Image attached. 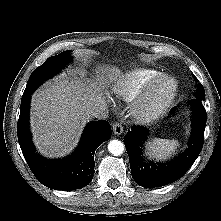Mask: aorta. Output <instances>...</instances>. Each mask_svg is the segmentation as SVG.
<instances>
[{"instance_id": "1", "label": "aorta", "mask_w": 221, "mask_h": 221, "mask_svg": "<svg viewBox=\"0 0 221 221\" xmlns=\"http://www.w3.org/2000/svg\"><path fill=\"white\" fill-rule=\"evenodd\" d=\"M108 151L114 156H119L124 152V144L119 140H111L108 144Z\"/></svg>"}]
</instances>
